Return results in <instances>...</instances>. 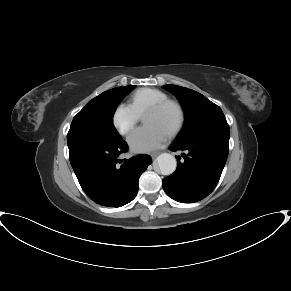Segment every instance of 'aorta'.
Returning a JSON list of instances; mask_svg holds the SVG:
<instances>
[{"mask_svg":"<svg viewBox=\"0 0 291 291\" xmlns=\"http://www.w3.org/2000/svg\"><path fill=\"white\" fill-rule=\"evenodd\" d=\"M156 161L162 175H170L176 170V159L169 153L160 154Z\"/></svg>","mask_w":291,"mask_h":291,"instance_id":"762f6f07","label":"aorta"}]
</instances>
